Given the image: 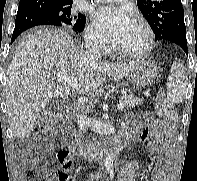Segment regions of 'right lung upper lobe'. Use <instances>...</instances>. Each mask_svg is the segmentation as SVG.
I'll use <instances>...</instances> for the list:
<instances>
[{
	"label": "right lung upper lobe",
	"mask_w": 197,
	"mask_h": 181,
	"mask_svg": "<svg viewBox=\"0 0 197 181\" xmlns=\"http://www.w3.org/2000/svg\"><path fill=\"white\" fill-rule=\"evenodd\" d=\"M72 0H20V4L37 6L39 4H54L60 6H71Z\"/></svg>",
	"instance_id": "1"
}]
</instances>
